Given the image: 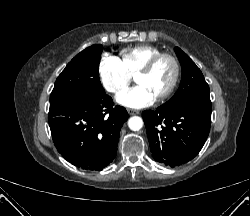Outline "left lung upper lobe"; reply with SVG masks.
<instances>
[{
  "label": "left lung upper lobe",
  "mask_w": 250,
  "mask_h": 216,
  "mask_svg": "<svg viewBox=\"0 0 250 216\" xmlns=\"http://www.w3.org/2000/svg\"><path fill=\"white\" fill-rule=\"evenodd\" d=\"M174 50L182 66V79L178 91L162 107L170 109L188 103L212 106L209 86L200 69L180 48L175 47Z\"/></svg>",
  "instance_id": "1"
}]
</instances>
